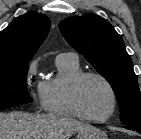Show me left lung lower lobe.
Segmentation results:
<instances>
[{
	"label": "left lung lower lobe",
	"instance_id": "left-lung-lower-lobe-1",
	"mask_svg": "<svg viewBox=\"0 0 141 139\" xmlns=\"http://www.w3.org/2000/svg\"><path fill=\"white\" fill-rule=\"evenodd\" d=\"M126 128L130 130H135L141 134V124H130V125H127Z\"/></svg>",
	"mask_w": 141,
	"mask_h": 139
}]
</instances>
